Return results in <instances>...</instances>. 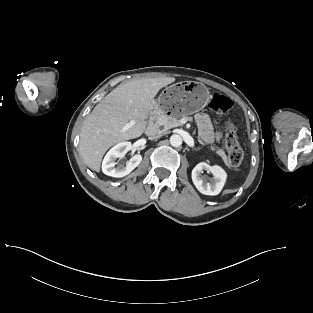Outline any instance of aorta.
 <instances>
[{
    "label": "aorta",
    "mask_w": 313,
    "mask_h": 313,
    "mask_svg": "<svg viewBox=\"0 0 313 313\" xmlns=\"http://www.w3.org/2000/svg\"><path fill=\"white\" fill-rule=\"evenodd\" d=\"M170 144L173 147H179L182 144V137L178 134H173L170 137Z\"/></svg>",
    "instance_id": "aorta-1"
}]
</instances>
